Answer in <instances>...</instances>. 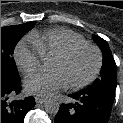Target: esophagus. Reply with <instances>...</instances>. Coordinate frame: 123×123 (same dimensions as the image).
<instances>
[{
	"label": "esophagus",
	"mask_w": 123,
	"mask_h": 123,
	"mask_svg": "<svg viewBox=\"0 0 123 123\" xmlns=\"http://www.w3.org/2000/svg\"><path fill=\"white\" fill-rule=\"evenodd\" d=\"M45 100H46V99L41 98V97H35V101H36V103H40V104H42V103H44V102H45Z\"/></svg>",
	"instance_id": "esophagus-1"
}]
</instances>
